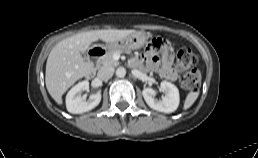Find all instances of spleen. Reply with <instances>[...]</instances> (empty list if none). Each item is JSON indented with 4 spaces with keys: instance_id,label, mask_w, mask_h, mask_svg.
Returning a JSON list of instances; mask_svg holds the SVG:
<instances>
[{
    "instance_id": "obj_1",
    "label": "spleen",
    "mask_w": 258,
    "mask_h": 158,
    "mask_svg": "<svg viewBox=\"0 0 258 158\" xmlns=\"http://www.w3.org/2000/svg\"><path fill=\"white\" fill-rule=\"evenodd\" d=\"M199 96V91H191L187 94L184 101L183 109L187 110L190 108Z\"/></svg>"
}]
</instances>
